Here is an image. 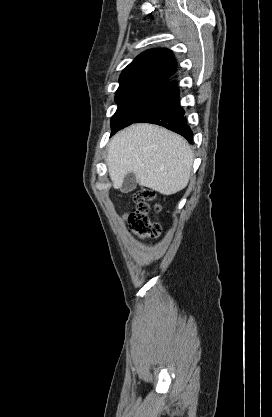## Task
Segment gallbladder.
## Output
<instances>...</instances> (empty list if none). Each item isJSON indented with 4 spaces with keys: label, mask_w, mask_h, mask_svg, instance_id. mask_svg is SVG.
<instances>
[{
    "label": "gallbladder",
    "mask_w": 272,
    "mask_h": 417,
    "mask_svg": "<svg viewBox=\"0 0 272 417\" xmlns=\"http://www.w3.org/2000/svg\"><path fill=\"white\" fill-rule=\"evenodd\" d=\"M136 185H137L136 176L134 173L130 172L125 176L120 190L122 193H128V192L133 191L136 188Z\"/></svg>",
    "instance_id": "1"
}]
</instances>
